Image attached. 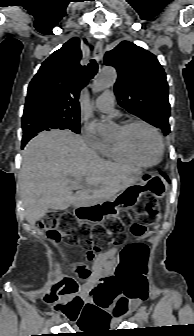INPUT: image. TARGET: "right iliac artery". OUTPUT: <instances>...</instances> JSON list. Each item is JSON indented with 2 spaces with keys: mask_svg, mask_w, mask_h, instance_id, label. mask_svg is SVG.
<instances>
[{
  "mask_svg": "<svg viewBox=\"0 0 194 336\" xmlns=\"http://www.w3.org/2000/svg\"><path fill=\"white\" fill-rule=\"evenodd\" d=\"M55 315H56V314H53V315H52V318H54Z\"/></svg>",
  "mask_w": 194,
  "mask_h": 336,
  "instance_id": "right-iliac-artery-1",
  "label": "right iliac artery"
}]
</instances>
